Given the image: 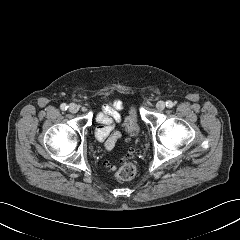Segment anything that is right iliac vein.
I'll use <instances>...</instances> for the list:
<instances>
[{"instance_id": "1", "label": "right iliac vein", "mask_w": 240, "mask_h": 240, "mask_svg": "<svg viewBox=\"0 0 240 240\" xmlns=\"http://www.w3.org/2000/svg\"><path fill=\"white\" fill-rule=\"evenodd\" d=\"M78 110H79V107H78L77 104L71 103V104L69 105V111H70L71 113H77Z\"/></svg>"}]
</instances>
